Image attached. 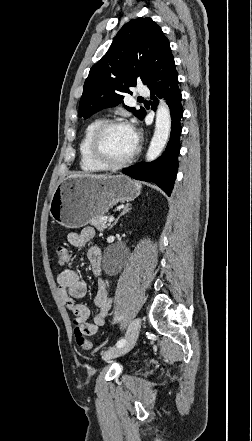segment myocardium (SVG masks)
Instances as JSON below:
<instances>
[{"label": "myocardium", "instance_id": "f54148a6", "mask_svg": "<svg viewBox=\"0 0 252 441\" xmlns=\"http://www.w3.org/2000/svg\"><path fill=\"white\" fill-rule=\"evenodd\" d=\"M113 126H129V125L127 124L126 121L118 118L103 120L93 131L89 142V153L91 158L96 163L101 165L103 168L109 170H117L127 166L132 162V160L135 158L139 150L136 144L135 148L130 153V155L127 156L122 161L113 163L110 162L108 159H106V157L101 152L100 141L105 131Z\"/></svg>", "mask_w": 252, "mask_h": 441}]
</instances>
